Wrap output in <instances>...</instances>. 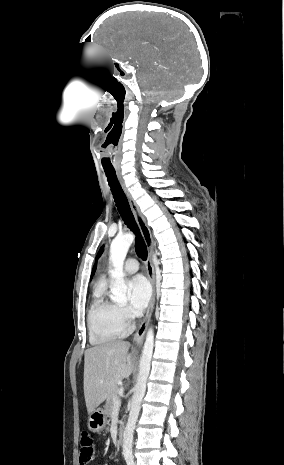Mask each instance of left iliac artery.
I'll return each instance as SVG.
<instances>
[{
	"mask_svg": "<svg viewBox=\"0 0 284 465\" xmlns=\"http://www.w3.org/2000/svg\"><path fill=\"white\" fill-rule=\"evenodd\" d=\"M127 465H134V461L132 459L127 460Z\"/></svg>",
	"mask_w": 284,
	"mask_h": 465,
	"instance_id": "44dca946",
	"label": "left iliac artery"
}]
</instances>
